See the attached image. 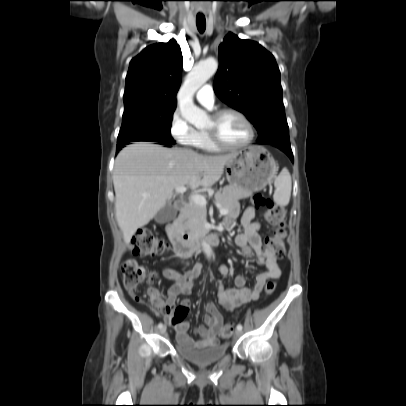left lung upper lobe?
<instances>
[{
    "instance_id": "5c2ea615",
    "label": "left lung upper lobe",
    "mask_w": 406,
    "mask_h": 406,
    "mask_svg": "<svg viewBox=\"0 0 406 406\" xmlns=\"http://www.w3.org/2000/svg\"><path fill=\"white\" fill-rule=\"evenodd\" d=\"M216 95L246 115L256 127L257 141L290 143L282 101L280 71L274 56L257 42L228 33L219 46Z\"/></svg>"
}]
</instances>
